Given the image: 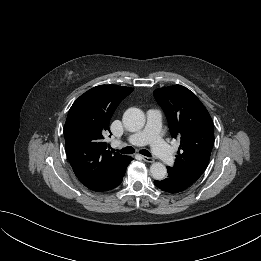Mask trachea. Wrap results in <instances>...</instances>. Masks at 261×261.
Wrapping results in <instances>:
<instances>
[{"instance_id": "obj_1", "label": "trachea", "mask_w": 261, "mask_h": 261, "mask_svg": "<svg viewBox=\"0 0 261 261\" xmlns=\"http://www.w3.org/2000/svg\"><path fill=\"white\" fill-rule=\"evenodd\" d=\"M120 152L123 153V154H132V153L135 152V149L131 146H127V147L121 149ZM140 153L144 156H147V157H150V155H151L150 152L148 150H145V149L140 150Z\"/></svg>"}]
</instances>
